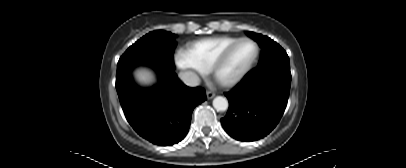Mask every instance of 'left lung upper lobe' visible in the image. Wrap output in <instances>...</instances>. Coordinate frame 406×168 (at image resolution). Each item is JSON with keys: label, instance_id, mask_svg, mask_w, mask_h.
Wrapping results in <instances>:
<instances>
[{"label": "left lung upper lobe", "instance_id": "5c2ea615", "mask_svg": "<svg viewBox=\"0 0 406 168\" xmlns=\"http://www.w3.org/2000/svg\"><path fill=\"white\" fill-rule=\"evenodd\" d=\"M247 34L257 41L262 48L258 66L275 65L284 69H290L289 57L279 44L261 34L253 32H247Z\"/></svg>", "mask_w": 406, "mask_h": 168}]
</instances>
